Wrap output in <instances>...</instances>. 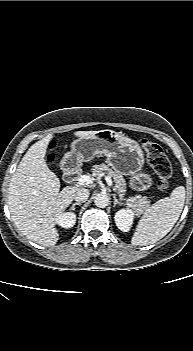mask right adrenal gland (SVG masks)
<instances>
[{
	"instance_id": "obj_1",
	"label": "right adrenal gland",
	"mask_w": 193,
	"mask_h": 351,
	"mask_svg": "<svg viewBox=\"0 0 193 351\" xmlns=\"http://www.w3.org/2000/svg\"><path fill=\"white\" fill-rule=\"evenodd\" d=\"M81 204H82V203H79V202L73 203L70 209L74 211V210H75V206H76V205H79V206H80Z\"/></svg>"
}]
</instances>
